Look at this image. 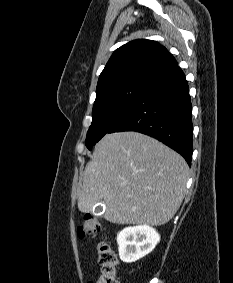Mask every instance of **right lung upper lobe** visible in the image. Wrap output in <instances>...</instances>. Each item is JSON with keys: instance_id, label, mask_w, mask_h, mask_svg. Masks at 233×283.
<instances>
[{"instance_id": "cb5924a9", "label": "right lung upper lobe", "mask_w": 233, "mask_h": 283, "mask_svg": "<svg viewBox=\"0 0 233 283\" xmlns=\"http://www.w3.org/2000/svg\"><path fill=\"white\" fill-rule=\"evenodd\" d=\"M176 66L175 58L158 42L134 40L112 54L99 76L96 92L131 80L152 81Z\"/></svg>"}]
</instances>
